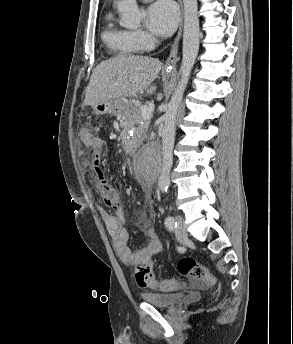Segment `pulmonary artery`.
Segmentation results:
<instances>
[{"instance_id": "1", "label": "pulmonary artery", "mask_w": 293, "mask_h": 344, "mask_svg": "<svg viewBox=\"0 0 293 344\" xmlns=\"http://www.w3.org/2000/svg\"><path fill=\"white\" fill-rule=\"evenodd\" d=\"M142 1H144V2H148V1H151V0H142Z\"/></svg>"}]
</instances>
